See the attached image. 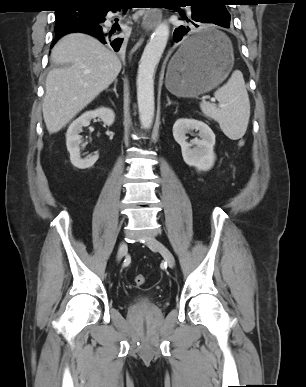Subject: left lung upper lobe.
<instances>
[{
	"label": "left lung upper lobe",
	"mask_w": 306,
	"mask_h": 387,
	"mask_svg": "<svg viewBox=\"0 0 306 387\" xmlns=\"http://www.w3.org/2000/svg\"><path fill=\"white\" fill-rule=\"evenodd\" d=\"M224 2L225 0H187L184 3L192 5V9H197L201 4L206 5L215 20L230 22V14Z\"/></svg>",
	"instance_id": "5c2ea615"
}]
</instances>
